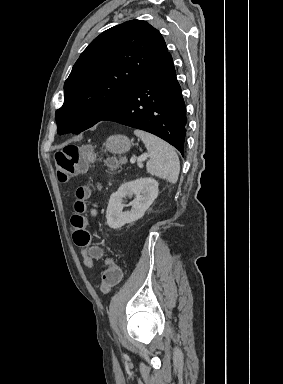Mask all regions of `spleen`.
<instances>
[{
    "mask_svg": "<svg viewBox=\"0 0 283 384\" xmlns=\"http://www.w3.org/2000/svg\"><path fill=\"white\" fill-rule=\"evenodd\" d=\"M134 134L141 138L147 152L153 154L146 164L148 174L167 180L170 184H176L180 172V162L174 148L164 140L147 134V132L135 130Z\"/></svg>",
    "mask_w": 283,
    "mask_h": 384,
    "instance_id": "obj_1",
    "label": "spleen"
}]
</instances>
